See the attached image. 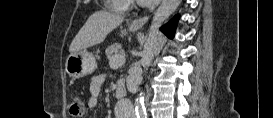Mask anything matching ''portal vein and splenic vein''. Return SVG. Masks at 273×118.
<instances>
[{
  "mask_svg": "<svg viewBox=\"0 0 273 118\" xmlns=\"http://www.w3.org/2000/svg\"><path fill=\"white\" fill-rule=\"evenodd\" d=\"M111 62L116 63L119 65H122L125 62V57L120 55H115L112 59Z\"/></svg>",
  "mask_w": 273,
  "mask_h": 118,
  "instance_id": "18ae733b",
  "label": "portal vein and splenic vein"
}]
</instances>
